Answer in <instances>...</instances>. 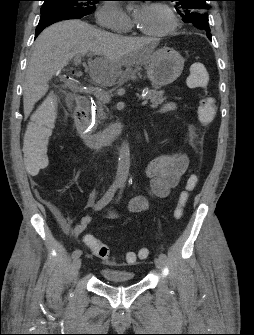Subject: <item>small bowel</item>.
<instances>
[{"mask_svg":"<svg viewBox=\"0 0 254 335\" xmlns=\"http://www.w3.org/2000/svg\"><path fill=\"white\" fill-rule=\"evenodd\" d=\"M174 109V103H167L162 107V112H170ZM188 164L189 160L185 154L163 153L154 155L146 167V176L150 179L149 190L151 196L158 199L168 197L170 192L177 187L181 177L187 171ZM29 173L31 174V172ZM94 199L95 195L93 194L90 203L91 206L95 207L97 203L94 205ZM147 207V200L141 196L132 199L129 205V209L132 212H142L145 211ZM108 215L113 219L118 217L114 212H109ZM56 218L61 228L72 237L81 235L92 222L90 216H84L77 225L72 227L67 217L56 214ZM87 238L93 237L91 235H86L85 240ZM92 253L95 255L93 251ZM104 260L110 263L109 259L105 258Z\"/></svg>","mask_w":254,"mask_h":335,"instance_id":"c3829d8e","label":"small bowel"}]
</instances>
